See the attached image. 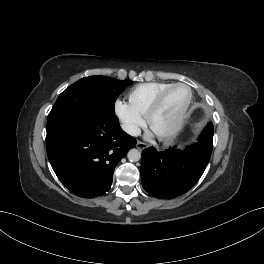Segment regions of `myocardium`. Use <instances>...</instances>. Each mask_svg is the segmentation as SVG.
<instances>
[{
    "instance_id": "myocardium-1",
    "label": "myocardium",
    "mask_w": 264,
    "mask_h": 264,
    "mask_svg": "<svg viewBox=\"0 0 264 264\" xmlns=\"http://www.w3.org/2000/svg\"><path fill=\"white\" fill-rule=\"evenodd\" d=\"M176 87H184L188 90L187 101L184 104L182 110L180 111V113H179L178 117L176 118V120L174 121V123L168 129H166L162 132H155L152 129V119H153L154 115L158 112V110L160 109L165 96L168 94L169 91H171L172 89H174ZM191 101H192V90L187 84L180 83V82L170 84L169 86H167L166 88L161 90L157 94V96L155 97L153 102L151 103L150 107L148 108V110L145 114L146 124L156 134L157 137H159V138L171 137L181 128V126L184 122V119L186 117L187 111L190 107Z\"/></svg>"
}]
</instances>
